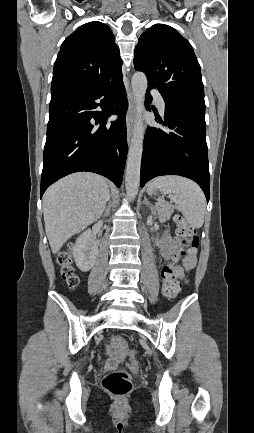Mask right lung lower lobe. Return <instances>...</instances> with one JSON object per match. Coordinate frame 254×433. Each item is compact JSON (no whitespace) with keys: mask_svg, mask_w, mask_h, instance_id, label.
Returning <instances> with one entry per match:
<instances>
[{"mask_svg":"<svg viewBox=\"0 0 254 433\" xmlns=\"http://www.w3.org/2000/svg\"><path fill=\"white\" fill-rule=\"evenodd\" d=\"M127 108L122 79L98 88L51 93L41 197L52 183L79 171L103 175L120 187L128 150ZM112 114L118 120L107 123Z\"/></svg>","mask_w":254,"mask_h":433,"instance_id":"right-lung-lower-lobe-1","label":"right lung lower lobe"}]
</instances>
